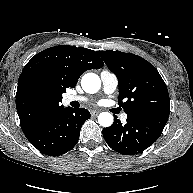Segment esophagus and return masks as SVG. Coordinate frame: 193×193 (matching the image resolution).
<instances>
[{
  "instance_id": "esophagus-1",
  "label": "esophagus",
  "mask_w": 193,
  "mask_h": 193,
  "mask_svg": "<svg viewBox=\"0 0 193 193\" xmlns=\"http://www.w3.org/2000/svg\"><path fill=\"white\" fill-rule=\"evenodd\" d=\"M100 113L98 110H92L91 111V116H97Z\"/></svg>"
}]
</instances>
